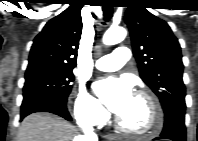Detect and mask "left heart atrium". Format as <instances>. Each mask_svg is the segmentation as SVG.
<instances>
[{
	"label": "left heart atrium",
	"instance_id": "39dd6f15",
	"mask_svg": "<svg viewBox=\"0 0 198 141\" xmlns=\"http://www.w3.org/2000/svg\"><path fill=\"white\" fill-rule=\"evenodd\" d=\"M94 90L105 106L117 115L128 107L134 97L131 83L124 78L101 79L94 84Z\"/></svg>",
	"mask_w": 198,
	"mask_h": 141
}]
</instances>
